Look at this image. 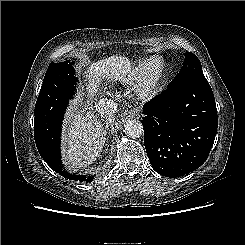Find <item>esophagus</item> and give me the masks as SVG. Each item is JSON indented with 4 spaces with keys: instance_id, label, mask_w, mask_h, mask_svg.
Instances as JSON below:
<instances>
[{
    "instance_id": "obj_1",
    "label": "esophagus",
    "mask_w": 245,
    "mask_h": 245,
    "mask_svg": "<svg viewBox=\"0 0 245 245\" xmlns=\"http://www.w3.org/2000/svg\"><path fill=\"white\" fill-rule=\"evenodd\" d=\"M135 111L131 110L127 113H125L121 118L120 120L118 121V128H121L122 124L126 121V120H129L131 118H134L135 117Z\"/></svg>"
}]
</instances>
